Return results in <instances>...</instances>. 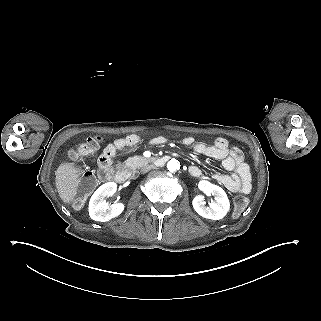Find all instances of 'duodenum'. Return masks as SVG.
<instances>
[{
  "mask_svg": "<svg viewBox=\"0 0 321 321\" xmlns=\"http://www.w3.org/2000/svg\"><path fill=\"white\" fill-rule=\"evenodd\" d=\"M169 160L168 156H163L159 157L154 161V164L156 166H163L165 165ZM132 176V172L129 169L126 168H119L115 173H114V179L119 182L123 183L127 180H129Z\"/></svg>",
  "mask_w": 321,
  "mask_h": 321,
  "instance_id": "obj_1",
  "label": "duodenum"
}]
</instances>
